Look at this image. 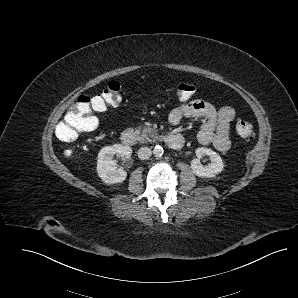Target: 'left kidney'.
Wrapping results in <instances>:
<instances>
[{"label": "left kidney", "mask_w": 298, "mask_h": 298, "mask_svg": "<svg viewBox=\"0 0 298 298\" xmlns=\"http://www.w3.org/2000/svg\"><path fill=\"white\" fill-rule=\"evenodd\" d=\"M195 153L197 158L191 161V169L196 176L210 178L223 170L224 163L222 158L213 150L200 147L196 149ZM205 155L209 156L211 160V163L206 166L202 165L200 162V159Z\"/></svg>", "instance_id": "left-kidney-1"}]
</instances>
